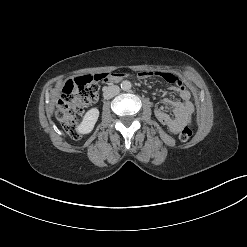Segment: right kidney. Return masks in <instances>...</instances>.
Here are the masks:
<instances>
[{"mask_svg":"<svg viewBox=\"0 0 247 247\" xmlns=\"http://www.w3.org/2000/svg\"><path fill=\"white\" fill-rule=\"evenodd\" d=\"M98 117L99 110L97 108H91L84 115L82 122L77 127V131L81 134L90 133L93 130Z\"/></svg>","mask_w":247,"mask_h":247,"instance_id":"obj_1","label":"right kidney"}]
</instances>
